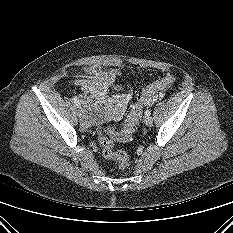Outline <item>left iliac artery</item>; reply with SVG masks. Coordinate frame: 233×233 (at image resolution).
Listing matches in <instances>:
<instances>
[{"label":"left iliac artery","instance_id":"44dca946","mask_svg":"<svg viewBox=\"0 0 233 233\" xmlns=\"http://www.w3.org/2000/svg\"><path fill=\"white\" fill-rule=\"evenodd\" d=\"M151 114V111L150 110H146L145 111V115H150Z\"/></svg>","mask_w":233,"mask_h":233}]
</instances>
